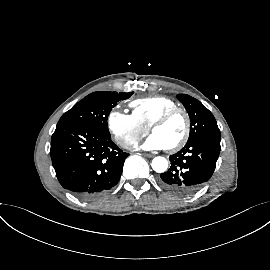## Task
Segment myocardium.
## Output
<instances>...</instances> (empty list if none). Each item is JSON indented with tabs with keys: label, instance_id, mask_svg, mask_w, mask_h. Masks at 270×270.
<instances>
[{
	"label": "myocardium",
	"instance_id": "f54148a6",
	"mask_svg": "<svg viewBox=\"0 0 270 270\" xmlns=\"http://www.w3.org/2000/svg\"><path fill=\"white\" fill-rule=\"evenodd\" d=\"M177 114H182L185 118L186 126L185 131L181 139L174 145L167 147V151L169 152H176L180 150L188 141L191 133V119L188 114V112L181 108V107H174L167 111H165L162 115H160L151 125H150V131L153 132L155 128L165 124L167 121H169L173 116Z\"/></svg>",
	"mask_w": 270,
	"mask_h": 270
}]
</instances>
